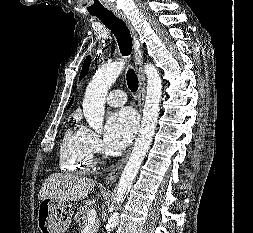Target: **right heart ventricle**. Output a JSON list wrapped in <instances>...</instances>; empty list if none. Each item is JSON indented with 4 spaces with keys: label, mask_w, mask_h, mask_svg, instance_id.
Listing matches in <instances>:
<instances>
[{
    "label": "right heart ventricle",
    "mask_w": 253,
    "mask_h": 233,
    "mask_svg": "<svg viewBox=\"0 0 253 233\" xmlns=\"http://www.w3.org/2000/svg\"><path fill=\"white\" fill-rule=\"evenodd\" d=\"M93 155L86 129L74 127L66 130L59 149V165L63 171L82 173L89 170Z\"/></svg>",
    "instance_id": "1"
}]
</instances>
